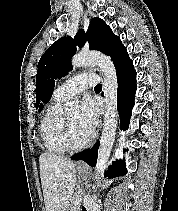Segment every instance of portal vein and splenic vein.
<instances>
[{"label":"portal vein and splenic vein","instance_id":"18ae733b","mask_svg":"<svg viewBox=\"0 0 178 211\" xmlns=\"http://www.w3.org/2000/svg\"><path fill=\"white\" fill-rule=\"evenodd\" d=\"M82 201V198L76 200L75 205H78Z\"/></svg>","mask_w":178,"mask_h":211}]
</instances>
